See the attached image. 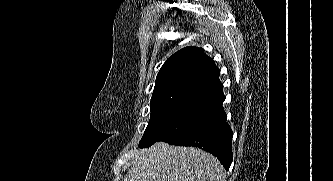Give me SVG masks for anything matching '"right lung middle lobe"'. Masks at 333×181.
I'll return each mask as SVG.
<instances>
[{"instance_id": "right-lung-middle-lobe-1", "label": "right lung middle lobe", "mask_w": 333, "mask_h": 181, "mask_svg": "<svg viewBox=\"0 0 333 181\" xmlns=\"http://www.w3.org/2000/svg\"><path fill=\"white\" fill-rule=\"evenodd\" d=\"M206 112L207 110L181 106L151 109V118L139 147H150L155 142H167L180 137L195 126Z\"/></svg>"}]
</instances>
